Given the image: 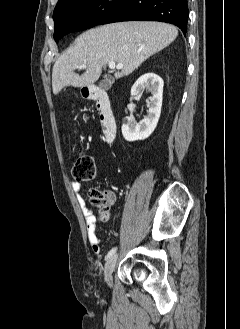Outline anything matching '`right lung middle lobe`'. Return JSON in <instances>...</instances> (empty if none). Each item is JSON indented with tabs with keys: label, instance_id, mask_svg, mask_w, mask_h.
Here are the masks:
<instances>
[{
	"label": "right lung middle lobe",
	"instance_id": "dd1d6c3e",
	"mask_svg": "<svg viewBox=\"0 0 240 329\" xmlns=\"http://www.w3.org/2000/svg\"><path fill=\"white\" fill-rule=\"evenodd\" d=\"M125 0H70L54 10L56 42L69 32L89 29L100 24Z\"/></svg>",
	"mask_w": 240,
	"mask_h": 329
}]
</instances>
